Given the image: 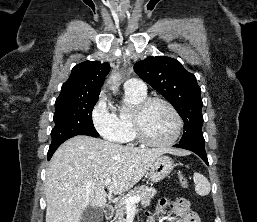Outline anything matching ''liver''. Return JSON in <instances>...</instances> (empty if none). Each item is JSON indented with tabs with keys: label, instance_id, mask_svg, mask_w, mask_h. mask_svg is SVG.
<instances>
[{
	"label": "liver",
	"instance_id": "liver-1",
	"mask_svg": "<svg viewBox=\"0 0 257 222\" xmlns=\"http://www.w3.org/2000/svg\"><path fill=\"white\" fill-rule=\"evenodd\" d=\"M175 149H139L79 135L65 141L46 172V222H80L87 206L103 208L105 186L122 194L138 183L161 155ZM111 182L105 185L104 181Z\"/></svg>",
	"mask_w": 257,
	"mask_h": 222
}]
</instances>
